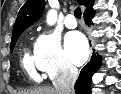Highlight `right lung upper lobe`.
<instances>
[{"mask_svg":"<svg viewBox=\"0 0 121 94\" xmlns=\"http://www.w3.org/2000/svg\"><path fill=\"white\" fill-rule=\"evenodd\" d=\"M78 2L86 7L85 12L92 9L93 0H78ZM44 7V0H27L18 13L12 36L23 32L36 22L41 17Z\"/></svg>","mask_w":121,"mask_h":94,"instance_id":"1","label":"right lung upper lobe"}]
</instances>
